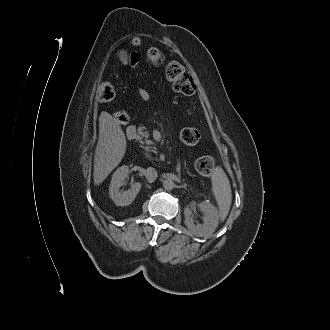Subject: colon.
<instances>
[{
    "label": "colon",
    "instance_id": "obj_1",
    "mask_svg": "<svg viewBox=\"0 0 330 330\" xmlns=\"http://www.w3.org/2000/svg\"><path fill=\"white\" fill-rule=\"evenodd\" d=\"M136 53L122 54L123 58H129ZM145 60L148 65L158 67L164 62V54L158 47H150L145 54ZM165 75L171 83L175 92L182 95H191L195 91V83L191 73L179 62H168L165 65ZM115 95L114 88L109 83H104L98 90L99 99L102 102H110ZM117 121L124 122L128 118L125 111H117L114 113ZM201 138L200 132L196 128H185L181 132V140L187 145H194ZM196 170L202 175H210L215 167L214 159L210 156H203L197 159L195 163Z\"/></svg>",
    "mask_w": 330,
    "mask_h": 330
}]
</instances>
